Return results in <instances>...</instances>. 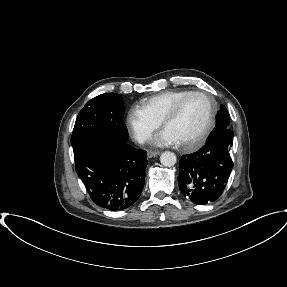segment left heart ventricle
I'll return each instance as SVG.
<instances>
[{
	"label": "left heart ventricle",
	"mask_w": 287,
	"mask_h": 287,
	"mask_svg": "<svg viewBox=\"0 0 287 287\" xmlns=\"http://www.w3.org/2000/svg\"><path fill=\"white\" fill-rule=\"evenodd\" d=\"M208 116V104L201 96L188 99L179 114L167 122L164 129L170 131L183 143L196 138L205 127Z\"/></svg>",
	"instance_id": "obj_1"
}]
</instances>
